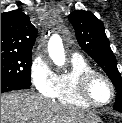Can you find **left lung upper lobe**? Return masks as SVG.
<instances>
[{"instance_id":"obj_1","label":"left lung upper lobe","mask_w":122,"mask_h":123,"mask_svg":"<svg viewBox=\"0 0 122 123\" xmlns=\"http://www.w3.org/2000/svg\"><path fill=\"white\" fill-rule=\"evenodd\" d=\"M80 47L97 62L116 88L114 109L122 112V77L104 32V24L89 11L75 10L68 16Z\"/></svg>"}]
</instances>
